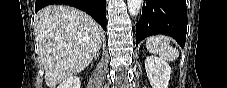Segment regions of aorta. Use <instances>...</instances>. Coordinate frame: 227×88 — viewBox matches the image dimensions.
I'll use <instances>...</instances> for the list:
<instances>
[{
	"instance_id": "1",
	"label": "aorta",
	"mask_w": 227,
	"mask_h": 88,
	"mask_svg": "<svg viewBox=\"0 0 227 88\" xmlns=\"http://www.w3.org/2000/svg\"><path fill=\"white\" fill-rule=\"evenodd\" d=\"M142 0H127L130 15L137 16L142 6Z\"/></svg>"
}]
</instances>
